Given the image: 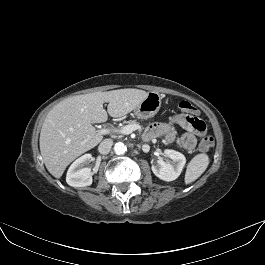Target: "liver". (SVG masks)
I'll return each instance as SVG.
<instances>
[{
    "label": "liver",
    "instance_id": "liver-1",
    "mask_svg": "<svg viewBox=\"0 0 265 265\" xmlns=\"http://www.w3.org/2000/svg\"><path fill=\"white\" fill-rule=\"evenodd\" d=\"M143 90L126 88L67 98L47 114L40 133V151L47 170L60 178L78 156L94 148L102 135L92 123L130 113L147 97ZM107 102V111L103 103Z\"/></svg>",
    "mask_w": 265,
    "mask_h": 265
}]
</instances>
